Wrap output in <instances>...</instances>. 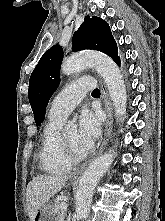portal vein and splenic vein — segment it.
<instances>
[{
    "instance_id": "18ae733b",
    "label": "portal vein and splenic vein",
    "mask_w": 165,
    "mask_h": 221,
    "mask_svg": "<svg viewBox=\"0 0 165 221\" xmlns=\"http://www.w3.org/2000/svg\"><path fill=\"white\" fill-rule=\"evenodd\" d=\"M61 206H62L64 212H66L67 211V205L65 203H61Z\"/></svg>"
}]
</instances>
